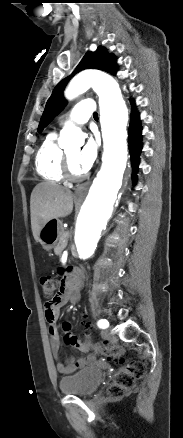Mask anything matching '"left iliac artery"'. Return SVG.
<instances>
[{
	"label": "left iliac artery",
	"instance_id": "left-iliac-artery-1",
	"mask_svg": "<svg viewBox=\"0 0 183 438\" xmlns=\"http://www.w3.org/2000/svg\"><path fill=\"white\" fill-rule=\"evenodd\" d=\"M97 325H98V327L101 328V329H106V328L109 327V322H108L107 320H105V319H101V320H99V321L97 322Z\"/></svg>",
	"mask_w": 183,
	"mask_h": 438
}]
</instances>
